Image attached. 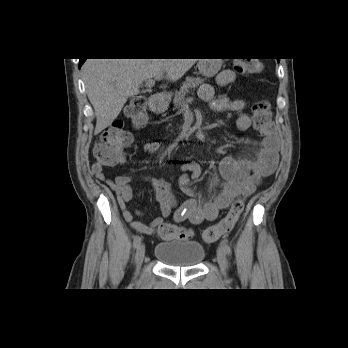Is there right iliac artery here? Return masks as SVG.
Here are the masks:
<instances>
[{
    "label": "right iliac artery",
    "mask_w": 348,
    "mask_h": 348,
    "mask_svg": "<svg viewBox=\"0 0 348 348\" xmlns=\"http://www.w3.org/2000/svg\"><path fill=\"white\" fill-rule=\"evenodd\" d=\"M141 238L139 236H136L133 241V247L137 248L140 245Z\"/></svg>",
    "instance_id": "1"
}]
</instances>
